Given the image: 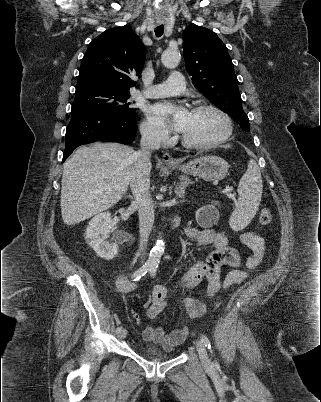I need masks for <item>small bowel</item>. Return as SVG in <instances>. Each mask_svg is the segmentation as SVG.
Returning a JSON list of instances; mask_svg holds the SVG:
<instances>
[{
	"label": "small bowel",
	"mask_w": 321,
	"mask_h": 402,
	"mask_svg": "<svg viewBox=\"0 0 321 402\" xmlns=\"http://www.w3.org/2000/svg\"><path fill=\"white\" fill-rule=\"evenodd\" d=\"M187 237L196 245L212 244L215 250L206 258L194 263L179 279L177 287L190 289L199 283L203 278L208 280L207 293L212 296L220 289L228 288L235 284L242 283L249 275L248 271L238 269L241 258L237 251L228 244V237L224 232L213 229H198L188 227ZM240 242L247 246L252 255L247 258L246 265L249 271L254 270L262 261L265 252V240L255 231H246L239 237ZM231 267L226 277L222 279L221 269ZM117 288L121 293H129L136 288V283L122 274L117 280ZM168 288L165 285H155L152 290L151 300L147 307L149 319H157L167 308ZM179 304L189 317H197L195 301L191 298H181ZM146 342L156 343L165 350L183 343L187 336V329L180 328L167 333L161 327L147 326L142 333Z\"/></svg>",
	"instance_id": "1"
}]
</instances>
